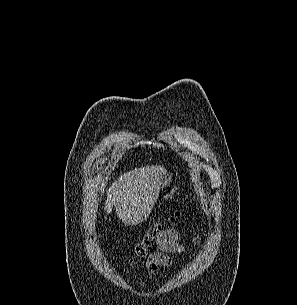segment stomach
I'll use <instances>...</instances> for the list:
<instances>
[{
  "label": "stomach",
  "mask_w": 297,
  "mask_h": 305,
  "mask_svg": "<svg viewBox=\"0 0 297 305\" xmlns=\"http://www.w3.org/2000/svg\"><path fill=\"white\" fill-rule=\"evenodd\" d=\"M173 179V174L172 173H166L161 184V189L167 188L170 186L171 182Z\"/></svg>",
  "instance_id": "0dacf381"
}]
</instances>
